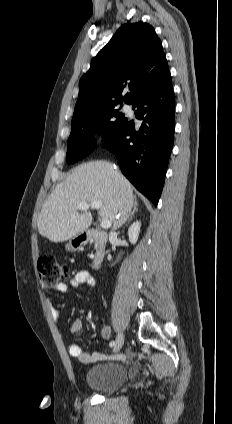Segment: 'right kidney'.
I'll return each instance as SVG.
<instances>
[{
	"instance_id": "1",
	"label": "right kidney",
	"mask_w": 232,
	"mask_h": 424,
	"mask_svg": "<svg viewBox=\"0 0 232 424\" xmlns=\"http://www.w3.org/2000/svg\"><path fill=\"white\" fill-rule=\"evenodd\" d=\"M140 226H141L140 221H136L128 229L129 241L132 244H136L138 240L139 233H140Z\"/></svg>"
}]
</instances>
